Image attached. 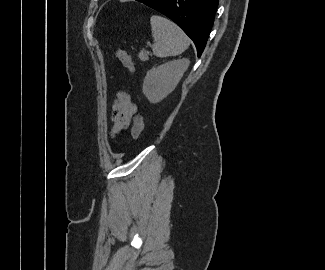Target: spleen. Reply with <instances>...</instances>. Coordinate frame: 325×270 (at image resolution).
Here are the masks:
<instances>
[{
  "instance_id": "spleen-1",
  "label": "spleen",
  "mask_w": 325,
  "mask_h": 270,
  "mask_svg": "<svg viewBox=\"0 0 325 270\" xmlns=\"http://www.w3.org/2000/svg\"><path fill=\"white\" fill-rule=\"evenodd\" d=\"M150 22L152 50L157 57L180 55L189 47L188 37L174 22L159 15L151 16Z\"/></svg>"
}]
</instances>
